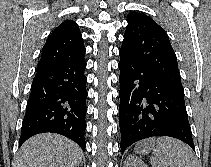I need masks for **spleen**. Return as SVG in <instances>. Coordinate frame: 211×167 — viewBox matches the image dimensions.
<instances>
[{"instance_id": "3e777b00", "label": "spleen", "mask_w": 211, "mask_h": 167, "mask_svg": "<svg viewBox=\"0 0 211 167\" xmlns=\"http://www.w3.org/2000/svg\"><path fill=\"white\" fill-rule=\"evenodd\" d=\"M150 158L152 167H198L192 149L180 140L160 137Z\"/></svg>"}]
</instances>
